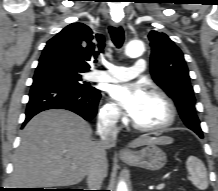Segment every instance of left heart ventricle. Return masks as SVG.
Segmentation results:
<instances>
[{
  "mask_svg": "<svg viewBox=\"0 0 218 191\" xmlns=\"http://www.w3.org/2000/svg\"><path fill=\"white\" fill-rule=\"evenodd\" d=\"M168 117L169 111L165 102L159 97L148 94L134 120L141 126L152 127L164 124Z\"/></svg>",
  "mask_w": 218,
  "mask_h": 191,
  "instance_id": "left-heart-ventricle-1",
  "label": "left heart ventricle"
}]
</instances>
